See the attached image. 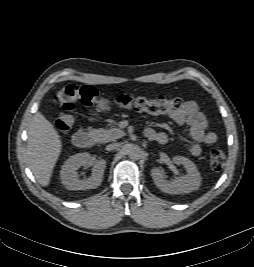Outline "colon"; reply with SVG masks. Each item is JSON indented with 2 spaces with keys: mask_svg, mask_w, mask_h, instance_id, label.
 <instances>
[{
  "mask_svg": "<svg viewBox=\"0 0 254 267\" xmlns=\"http://www.w3.org/2000/svg\"><path fill=\"white\" fill-rule=\"evenodd\" d=\"M56 100L64 111L58 115L54 123L55 128L61 132L69 131L74 126L76 118L73 112L78 103L94 106L100 111H108L115 105L124 109L144 111L155 116L170 114L181 105L178 97L169 95L146 98L123 94L111 101L100 97L95 87L77 84H68L63 87L58 92ZM225 162L226 157L221 150L213 149L210 151L209 165L212 170L220 171Z\"/></svg>",
  "mask_w": 254,
  "mask_h": 267,
  "instance_id": "colon-1",
  "label": "colon"
}]
</instances>
